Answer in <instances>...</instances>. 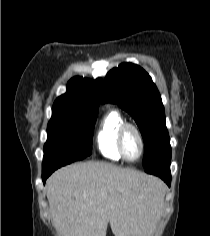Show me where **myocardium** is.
I'll list each match as a JSON object with an SVG mask.
<instances>
[{"label":"myocardium","instance_id":"obj_1","mask_svg":"<svg viewBox=\"0 0 210 236\" xmlns=\"http://www.w3.org/2000/svg\"><path fill=\"white\" fill-rule=\"evenodd\" d=\"M127 130H133L136 133V135L139 139V143H140L139 154L134 159L128 158L126 156V154L124 152V148H123V140H124V136H125V133L127 132ZM117 148H118V151H119L122 159H124L127 162H135L140 159V157L143 155V152H144L145 142H144L143 134L137 125L130 123V122H124L120 126V128L118 130V134H117Z\"/></svg>","mask_w":210,"mask_h":236}]
</instances>
